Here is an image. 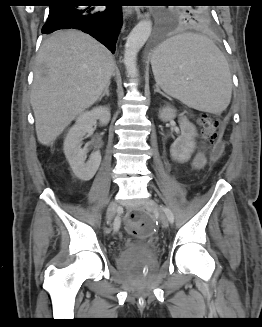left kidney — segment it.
<instances>
[{
	"label": "left kidney",
	"mask_w": 262,
	"mask_h": 327,
	"mask_svg": "<svg viewBox=\"0 0 262 327\" xmlns=\"http://www.w3.org/2000/svg\"><path fill=\"white\" fill-rule=\"evenodd\" d=\"M176 117V110L172 107H165L159 111V118L162 121H169ZM181 135L171 145L170 153L173 160L180 163L187 162L196 148L195 137L196 127L185 117L179 118Z\"/></svg>",
	"instance_id": "obj_1"
}]
</instances>
